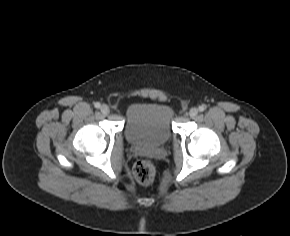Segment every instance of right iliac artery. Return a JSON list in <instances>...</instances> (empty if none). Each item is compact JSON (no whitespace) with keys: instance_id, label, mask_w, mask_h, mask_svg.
I'll list each match as a JSON object with an SVG mask.
<instances>
[{"instance_id":"82829eb1","label":"right iliac artery","mask_w":290,"mask_h":236,"mask_svg":"<svg viewBox=\"0 0 290 236\" xmlns=\"http://www.w3.org/2000/svg\"><path fill=\"white\" fill-rule=\"evenodd\" d=\"M94 106H95V108H100V103H99V102H96V103L94 104Z\"/></svg>"}]
</instances>
